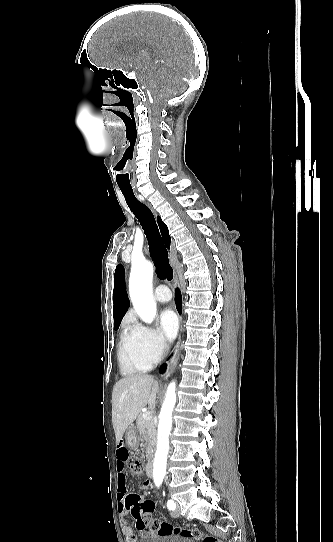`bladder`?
Here are the masks:
<instances>
[{"mask_svg":"<svg viewBox=\"0 0 333 542\" xmlns=\"http://www.w3.org/2000/svg\"><path fill=\"white\" fill-rule=\"evenodd\" d=\"M148 539L143 540L142 542H196V540L189 539L185 535H152L147 537Z\"/></svg>","mask_w":333,"mask_h":542,"instance_id":"bladder-1","label":"bladder"}]
</instances>
